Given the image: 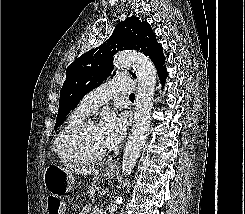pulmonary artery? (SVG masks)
<instances>
[{
  "label": "pulmonary artery",
  "mask_w": 245,
  "mask_h": 214,
  "mask_svg": "<svg viewBox=\"0 0 245 214\" xmlns=\"http://www.w3.org/2000/svg\"><path fill=\"white\" fill-rule=\"evenodd\" d=\"M134 90L131 79L114 77L89 92L80 102V108L87 113L97 110L115 94H127Z\"/></svg>",
  "instance_id": "e3ab8cb5"
}]
</instances>
